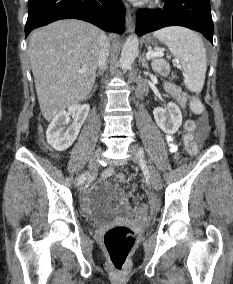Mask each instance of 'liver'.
Returning <instances> with one entry per match:
<instances>
[{
  "mask_svg": "<svg viewBox=\"0 0 233 284\" xmlns=\"http://www.w3.org/2000/svg\"><path fill=\"white\" fill-rule=\"evenodd\" d=\"M101 33L90 23L68 19L31 34V69L47 121L88 97L95 83Z\"/></svg>",
  "mask_w": 233,
  "mask_h": 284,
  "instance_id": "6515ba94",
  "label": "liver"
}]
</instances>
